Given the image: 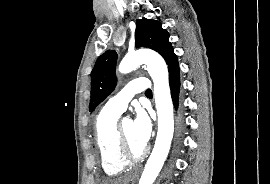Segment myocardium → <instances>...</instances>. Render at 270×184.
I'll return each mask as SVG.
<instances>
[{
	"instance_id": "obj_1",
	"label": "myocardium",
	"mask_w": 270,
	"mask_h": 184,
	"mask_svg": "<svg viewBox=\"0 0 270 184\" xmlns=\"http://www.w3.org/2000/svg\"><path fill=\"white\" fill-rule=\"evenodd\" d=\"M122 122L116 126L118 153L122 161L130 164L143 159L148 153V147L145 145L139 152H134L124 133Z\"/></svg>"
}]
</instances>
